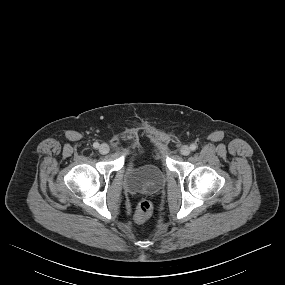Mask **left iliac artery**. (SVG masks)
<instances>
[{"label":"left iliac artery","instance_id":"1","mask_svg":"<svg viewBox=\"0 0 285 285\" xmlns=\"http://www.w3.org/2000/svg\"><path fill=\"white\" fill-rule=\"evenodd\" d=\"M190 149H191L192 151H195V150L197 149V145H196V144H191V145H190Z\"/></svg>","mask_w":285,"mask_h":285}]
</instances>
